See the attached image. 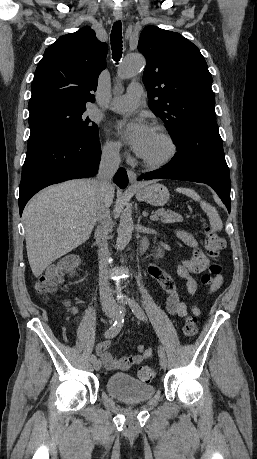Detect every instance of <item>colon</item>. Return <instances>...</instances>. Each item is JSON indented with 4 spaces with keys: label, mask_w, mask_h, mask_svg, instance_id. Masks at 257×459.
<instances>
[{
    "label": "colon",
    "mask_w": 257,
    "mask_h": 459,
    "mask_svg": "<svg viewBox=\"0 0 257 459\" xmlns=\"http://www.w3.org/2000/svg\"><path fill=\"white\" fill-rule=\"evenodd\" d=\"M204 243L207 253L212 258H217L225 245L224 239L209 227L205 228ZM76 263L75 259H68L63 263L48 269L37 281L35 285L36 291L45 297L53 295L64 275L70 273L75 268ZM220 271L221 266L219 264H213L210 267V270L202 276V283L204 285L210 284L213 276L219 274ZM197 331L198 326L196 317H188L183 325L184 336L186 338H191L196 335ZM137 375L141 380L149 381L154 377L155 370L151 366H142L137 370Z\"/></svg>",
    "instance_id": "colon-1"
}]
</instances>
